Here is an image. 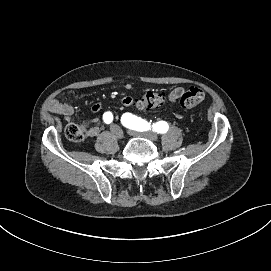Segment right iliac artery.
Here are the masks:
<instances>
[{
  "instance_id": "82829eb1",
  "label": "right iliac artery",
  "mask_w": 271,
  "mask_h": 271,
  "mask_svg": "<svg viewBox=\"0 0 271 271\" xmlns=\"http://www.w3.org/2000/svg\"><path fill=\"white\" fill-rule=\"evenodd\" d=\"M103 120L106 124H110L113 121V115L111 112H105L103 114Z\"/></svg>"
}]
</instances>
